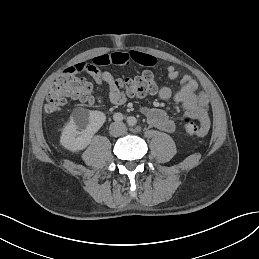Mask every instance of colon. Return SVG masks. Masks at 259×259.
I'll return each mask as SVG.
<instances>
[{"label": "colon", "instance_id": "5ec220e1", "mask_svg": "<svg viewBox=\"0 0 259 259\" xmlns=\"http://www.w3.org/2000/svg\"><path fill=\"white\" fill-rule=\"evenodd\" d=\"M156 92L154 74L144 71L141 74L126 79H115L110 87V99H123L127 97H143ZM68 99L80 102L94 103L97 98L92 84L85 78L74 73L65 72L54 82L46 98L45 110L48 114L58 112ZM181 130L187 135H197L200 126L193 120L185 117Z\"/></svg>", "mask_w": 259, "mask_h": 259}]
</instances>
